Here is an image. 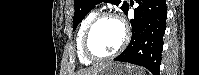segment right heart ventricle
I'll use <instances>...</instances> for the list:
<instances>
[{
	"label": "right heart ventricle",
	"mask_w": 199,
	"mask_h": 75,
	"mask_svg": "<svg viewBox=\"0 0 199 75\" xmlns=\"http://www.w3.org/2000/svg\"><path fill=\"white\" fill-rule=\"evenodd\" d=\"M97 15L96 11H90L82 20L80 27H79V31L77 33V37H76V48H77V55H78V59L79 61L84 64V65H90L92 64V60H89L88 58L85 57V55L83 54L82 51V37L84 34V31L86 29V27L89 25V23L91 22V20Z\"/></svg>",
	"instance_id": "e07e8e85"
}]
</instances>
